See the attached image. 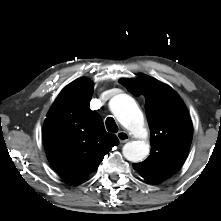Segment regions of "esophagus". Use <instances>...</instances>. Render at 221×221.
I'll return each mask as SVG.
<instances>
[{"label": "esophagus", "instance_id": "esophagus-1", "mask_svg": "<svg viewBox=\"0 0 221 221\" xmlns=\"http://www.w3.org/2000/svg\"><path fill=\"white\" fill-rule=\"evenodd\" d=\"M116 135L120 143H125L129 140V135L126 131H119Z\"/></svg>", "mask_w": 221, "mask_h": 221}]
</instances>
